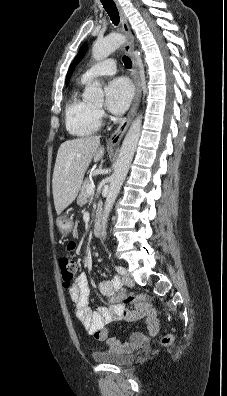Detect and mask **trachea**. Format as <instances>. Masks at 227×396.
Wrapping results in <instances>:
<instances>
[{"mask_svg": "<svg viewBox=\"0 0 227 396\" xmlns=\"http://www.w3.org/2000/svg\"><path fill=\"white\" fill-rule=\"evenodd\" d=\"M101 2H102L104 9L110 16V19L113 22V24L118 25L119 21H120V17H119L117 7H116L115 3L113 2V0H101ZM122 60H123V63L126 68H128V69L131 68L132 62L129 57L123 56Z\"/></svg>", "mask_w": 227, "mask_h": 396, "instance_id": "obj_1", "label": "trachea"}]
</instances>
